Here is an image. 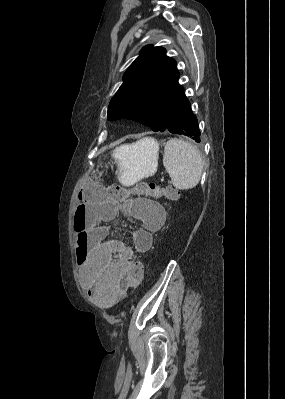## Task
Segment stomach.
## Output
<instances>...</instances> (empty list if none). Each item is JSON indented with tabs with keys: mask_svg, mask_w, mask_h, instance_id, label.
<instances>
[{
	"mask_svg": "<svg viewBox=\"0 0 285 399\" xmlns=\"http://www.w3.org/2000/svg\"><path fill=\"white\" fill-rule=\"evenodd\" d=\"M158 150L157 141L151 138L118 147L113 156L118 161L119 180L125 185H133L154 175L158 167Z\"/></svg>",
	"mask_w": 285,
	"mask_h": 399,
	"instance_id": "0dacf381",
	"label": "stomach"
}]
</instances>
